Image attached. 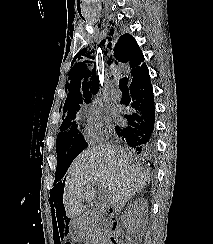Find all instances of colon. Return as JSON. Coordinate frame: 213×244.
<instances>
[{"instance_id": "obj_1", "label": "colon", "mask_w": 213, "mask_h": 244, "mask_svg": "<svg viewBox=\"0 0 213 244\" xmlns=\"http://www.w3.org/2000/svg\"><path fill=\"white\" fill-rule=\"evenodd\" d=\"M63 244H73L72 242H65V243H63Z\"/></svg>"}]
</instances>
